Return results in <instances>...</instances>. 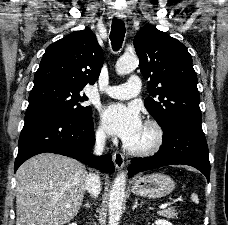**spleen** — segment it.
Instances as JSON below:
<instances>
[{"label": "spleen", "instance_id": "3e777b00", "mask_svg": "<svg viewBox=\"0 0 228 225\" xmlns=\"http://www.w3.org/2000/svg\"><path fill=\"white\" fill-rule=\"evenodd\" d=\"M191 199H192V201H194V203H198L197 195H191Z\"/></svg>", "mask_w": 228, "mask_h": 225}]
</instances>
